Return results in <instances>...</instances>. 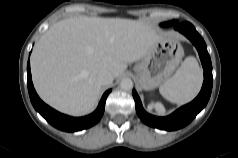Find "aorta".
<instances>
[{
    "mask_svg": "<svg viewBox=\"0 0 238 158\" xmlns=\"http://www.w3.org/2000/svg\"><path fill=\"white\" fill-rule=\"evenodd\" d=\"M120 87L123 90H131L133 88V81L130 78H123L120 82Z\"/></svg>",
    "mask_w": 238,
    "mask_h": 158,
    "instance_id": "aorta-1",
    "label": "aorta"
}]
</instances>
